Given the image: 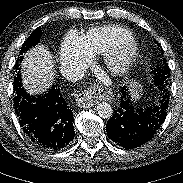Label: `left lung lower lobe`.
<instances>
[{"instance_id": "0a47b994", "label": "left lung lower lobe", "mask_w": 183, "mask_h": 183, "mask_svg": "<svg viewBox=\"0 0 183 183\" xmlns=\"http://www.w3.org/2000/svg\"><path fill=\"white\" fill-rule=\"evenodd\" d=\"M160 96L146 108L134 106L128 90H121L120 103L106 125L108 137L126 149L136 148L148 142L165 121L169 91L158 86Z\"/></svg>"}]
</instances>
